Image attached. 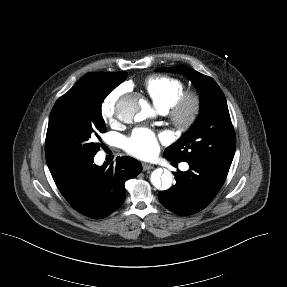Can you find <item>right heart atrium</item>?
Here are the masks:
<instances>
[{
  "mask_svg": "<svg viewBox=\"0 0 287 287\" xmlns=\"http://www.w3.org/2000/svg\"><path fill=\"white\" fill-rule=\"evenodd\" d=\"M124 92V87H119L110 92L102 101L100 114L106 123H111L115 119L117 103Z\"/></svg>",
  "mask_w": 287,
  "mask_h": 287,
  "instance_id": "right-heart-atrium-1",
  "label": "right heart atrium"
}]
</instances>
